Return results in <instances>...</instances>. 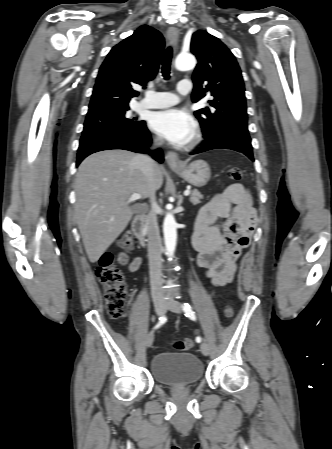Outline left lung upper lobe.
<instances>
[{
    "label": "left lung upper lobe",
    "instance_id": "1",
    "mask_svg": "<svg viewBox=\"0 0 332 449\" xmlns=\"http://www.w3.org/2000/svg\"><path fill=\"white\" fill-rule=\"evenodd\" d=\"M190 48L198 59L192 101L213 97L208 101L213 109L195 112L204 138L227 127H247L245 88L235 56L218 38L202 30L193 33Z\"/></svg>",
    "mask_w": 332,
    "mask_h": 449
}]
</instances>
